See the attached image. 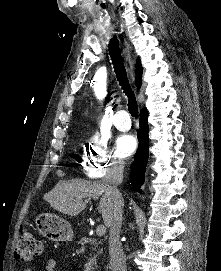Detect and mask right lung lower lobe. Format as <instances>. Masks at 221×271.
Instances as JSON below:
<instances>
[{
  "label": "right lung lower lobe",
  "instance_id": "1",
  "mask_svg": "<svg viewBox=\"0 0 221 271\" xmlns=\"http://www.w3.org/2000/svg\"><path fill=\"white\" fill-rule=\"evenodd\" d=\"M139 147L135 154L134 162L131 167V183L135 191L141 192L140 186L144 182V174L149 155L148 142V114L146 108L140 112V129L138 132Z\"/></svg>",
  "mask_w": 221,
  "mask_h": 271
}]
</instances>
